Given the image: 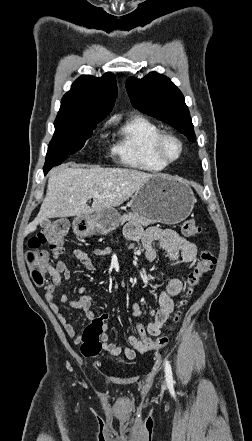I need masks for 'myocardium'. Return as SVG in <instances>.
<instances>
[{
    "label": "myocardium",
    "mask_w": 252,
    "mask_h": 441,
    "mask_svg": "<svg viewBox=\"0 0 252 441\" xmlns=\"http://www.w3.org/2000/svg\"><path fill=\"white\" fill-rule=\"evenodd\" d=\"M166 141H173L178 145L179 152L176 157L169 158L164 154L163 147H164V144ZM152 150H153L155 157L159 161H161L162 163H164L166 165H169V164H172V163L178 161L181 158V156L183 154L184 147H183L182 141L174 134L168 133V132H160L159 135L156 137V139L153 142Z\"/></svg>",
    "instance_id": "myocardium-1"
}]
</instances>
